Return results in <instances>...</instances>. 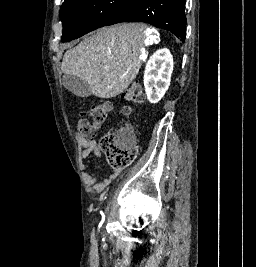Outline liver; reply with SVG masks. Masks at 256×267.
<instances>
[{"label": "liver", "instance_id": "liver-1", "mask_svg": "<svg viewBox=\"0 0 256 267\" xmlns=\"http://www.w3.org/2000/svg\"><path fill=\"white\" fill-rule=\"evenodd\" d=\"M146 24H115L97 30L63 56V74L88 82L97 98H115L128 88L142 66Z\"/></svg>", "mask_w": 256, "mask_h": 267}]
</instances>
